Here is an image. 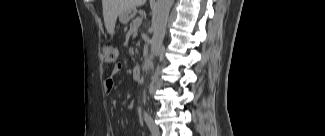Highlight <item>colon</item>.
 <instances>
[{
  "instance_id": "colon-1",
  "label": "colon",
  "mask_w": 325,
  "mask_h": 136,
  "mask_svg": "<svg viewBox=\"0 0 325 136\" xmlns=\"http://www.w3.org/2000/svg\"><path fill=\"white\" fill-rule=\"evenodd\" d=\"M102 54L105 63L113 65L118 58V49L114 45L107 43L102 46Z\"/></svg>"
}]
</instances>
